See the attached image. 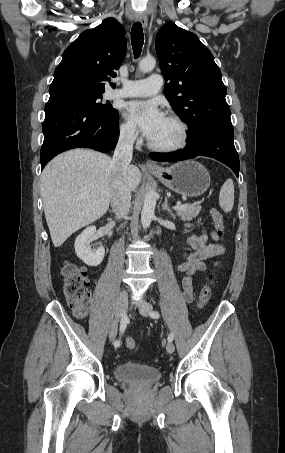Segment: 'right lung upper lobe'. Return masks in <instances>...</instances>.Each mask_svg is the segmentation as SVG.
Instances as JSON below:
<instances>
[{
    "label": "right lung upper lobe",
    "mask_w": 285,
    "mask_h": 453,
    "mask_svg": "<svg viewBox=\"0 0 285 453\" xmlns=\"http://www.w3.org/2000/svg\"><path fill=\"white\" fill-rule=\"evenodd\" d=\"M126 44L125 30L114 18H106L97 27L82 32L66 48L55 69L50 96L75 91L104 93V82L116 77L115 70L123 62Z\"/></svg>",
    "instance_id": "cb5924a9"
}]
</instances>
